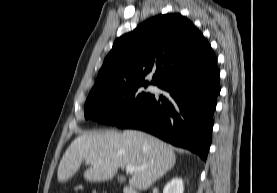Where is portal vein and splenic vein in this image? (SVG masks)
<instances>
[{"mask_svg":"<svg viewBox=\"0 0 277 193\" xmlns=\"http://www.w3.org/2000/svg\"><path fill=\"white\" fill-rule=\"evenodd\" d=\"M135 168L133 166H126V172L127 173H133Z\"/></svg>","mask_w":277,"mask_h":193,"instance_id":"portal-vein-and-splenic-vein-1","label":"portal vein and splenic vein"}]
</instances>
